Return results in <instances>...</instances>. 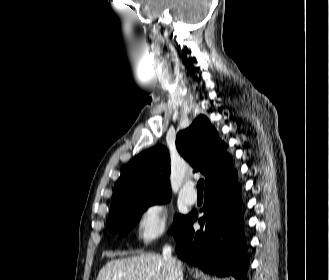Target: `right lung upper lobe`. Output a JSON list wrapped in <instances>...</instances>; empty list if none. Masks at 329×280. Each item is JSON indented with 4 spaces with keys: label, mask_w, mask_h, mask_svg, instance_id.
Returning <instances> with one entry per match:
<instances>
[{
    "label": "right lung upper lobe",
    "mask_w": 329,
    "mask_h": 280,
    "mask_svg": "<svg viewBox=\"0 0 329 280\" xmlns=\"http://www.w3.org/2000/svg\"><path fill=\"white\" fill-rule=\"evenodd\" d=\"M225 143L204 115H199L176 138V147L196 171L205 175V186L232 166ZM170 157L167 148L157 145L133 158L118 179L110 213L127 202L146 197H170Z\"/></svg>",
    "instance_id": "obj_1"
}]
</instances>
